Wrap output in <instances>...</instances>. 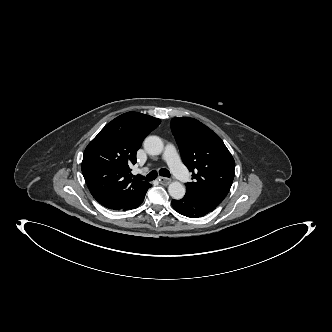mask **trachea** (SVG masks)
Instances as JSON below:
<instances>
[{
  "mask_svg": "<svg viewBox=\"0 0 332 332\" xmlns=\"http://www.w3.org/2000/svg\"><path fill=\"white\" fill-rule=\"evenodd\" d=\"M159 175L169 178L170 177V172L167 169L162 168V169L159 170ZM157 176H158L157 171L153 170L146 177H143L141 175H137L136 178L137 179H145L146 181H152V180L156 179Z\"/></svg>",
  "mask_w": 332,
  "mask_h": 332,
  "instance_id": "obj_1",
  "label": "trachea"
}]
</instances>
